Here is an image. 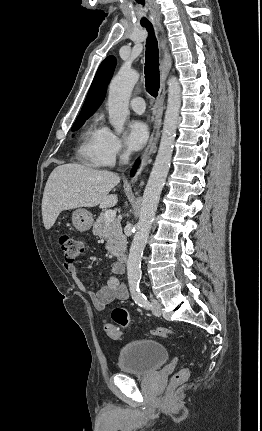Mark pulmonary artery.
<instances>
[{
	"instance_id": "pulmonary-artery-1",
	"label": "pulmonary artery",
	"mask_w": 262,
	"mask_h": 431,
	"mask_svg": "<svg viewBox=\"0 0 262 431\" xmlns=\"http://www.w3.org/2000/svg\"><path fill=\"white\" fill-rule=\"evenodd\" d=\"M131 109L138 114L145 111V100L141 96H136L130 101Z\"/></svg>"
}]
</instances>
